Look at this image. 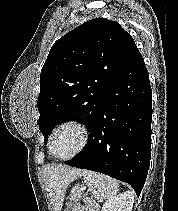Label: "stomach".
Listing matches in <instances>:
<instances>
[{"instance_id": "stomach-1", "label": "stomach", "mask_w": 178, "mask_h": 211, "mask_svg": "<svg viewBox=\"0 0 178 211\" xmlns=\"http://www.w3.org/2000/svg\"><path fill=\"white\" fill-rule=\"evenodd\" d=\"M84 190H85L84 185H80V184L74 186L71 189V192H70L71 203L69 204V208L72 206L73 203L78 202L82 198ZM68 211H70V210H68Z\"/></svg>"}]
</instances>
